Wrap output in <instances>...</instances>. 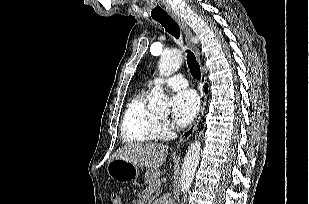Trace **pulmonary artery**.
I'll use <instances>...</instances> for the list:
<instances>
[{"mask_svg":"<svg viewBox=\"0 0 309 204\" xmlns=\"http://www.w3.org/2000/svg\"><path fill=\"white\" fill-rule=\"evenodd\" d=\"M155 84L163 85L174 90H181L188 86L187 80L178 75L168 79H157Z\"/></svg>","mask_w":309,"mask_h":204,"instance_id":"obj_1","label":"pulmonary artery"}]
</instances>
